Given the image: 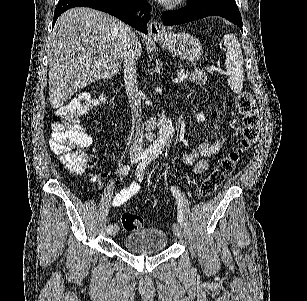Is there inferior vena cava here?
<instances>
[{
  "instance_id": "1",
  "label": "inferior vena cava",
  "mask_w": 307,
  "mask_h": 301,
  "mask_svg": "<svg viewBox=\"0 0 307 301\" xmlns=\"http://www.w3.org/2000/svg\"><path fill=\"white\" fill-rule=\"evenodd\" d=\"M126 34L128 44H125L123 50L124 84L130 106L136 118L135 132L131 140L129 153L130 157H140L144 151V130L143 126H141L142 108L141 98L138 94L136 58L134 48L131 44L132 40H135L136 34L133 32V30H131V28H127Z\"/></svg>"
}]
</instances>
